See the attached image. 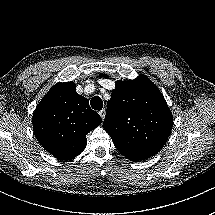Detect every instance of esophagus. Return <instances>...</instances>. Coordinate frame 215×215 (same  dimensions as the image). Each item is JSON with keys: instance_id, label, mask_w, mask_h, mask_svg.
<instances>
[{"instance_id": "obj_1", "label": "esophagus", "mask_w": 215, "mask_h": 215, "mask_svg": "<svg viewBox=\"0 0 215 215\" xmlns=\"http://www.w3.org/2000/svg\"><path fill=\"white\" fill-rule=\"evenodd\" d=\"M99 115L102 118V120L105 119V115H106V109L103 108L102 110L99 111Z\"/></svg>"}]
</instances>
